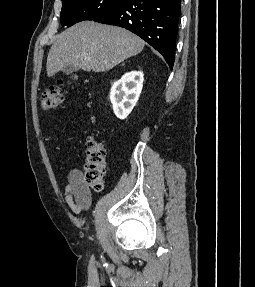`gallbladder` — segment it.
<instances>
[{
  "label": "gallbladder",
  "instance_id": "obj_1",
  "mask_svg": "<svg viewBox=\"0 0 255 287\" xmlns=\"http://www.w3.org/2000/svg\"><path fill=\"white\" fill-rule=\"evenodd\" d=\"M79 68H75V66H73V64H70V66H65V68H63L62 72H64V74H73V72H78Z\"/></svg>",
  "mask_w": 255,
  "mask_h": 287
}]
</instances>
